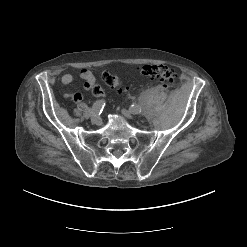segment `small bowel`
Wrapping results in <instances>:
<instances>
[{"instance_id": "obj_1", "label": "small bowel", "mask_w": 247, "mask_h": 247, "mask_svg": "<svg viewBox=\"0 0 247 247\" xmlns=\"http://www.w3.org/2000/svg\"><path fill=\"white\" fill-rule=\"evenodd\" d=\"M80 78L84 81V87L87 91H92L95 86L96 78L94 74L88 69H82L80 71ZM61 82L63 85H70L73 82V76L71 74H64L61 77ZM73 100L80 102L83 99L81 93H76L72 96Z\"/></svg>"}]
</instances>
